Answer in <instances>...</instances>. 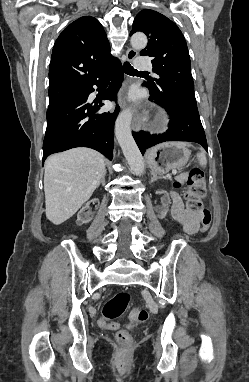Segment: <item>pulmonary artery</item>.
<instances>
[{"mask_svg": "<svg viewBox=\"0 0 249 382\" xmlns=\"http://www.w3.org/2000/svg\"><path fill=\"white\" fill-rule=\"evenodd\" d=\"M135 67L138 70H151L152 64L146 58L142 57V58H138L136 60V66Z\"/></svg>", "mask_w": 249, "mask_h": 382, "instance_id": "obj_1", "label": "pulmonary artery"}]
</instances>
